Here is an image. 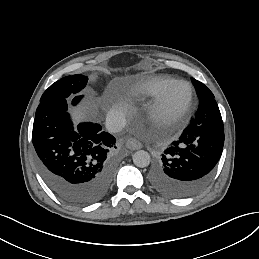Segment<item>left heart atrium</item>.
Masks as SVG:
<instances>
[{
  "label": "left heart atrium",
  "instance_id": "obj_1",
  "mask_svg": "<svg viewBox=\"0 0 259 259\" xmlns=\"http://www.w3.org/2000/svg\"><path fill=\"white\" fill-rule=\"evenodd\" d=\"M166 151L172 154H178V153H181L183 150L178 146H170L166 148Z\"/></svg>",
  "mask_w": 259,
  "mask_h": 259
}]
</instances>
